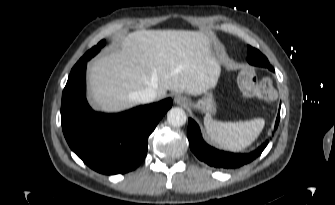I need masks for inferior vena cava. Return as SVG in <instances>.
<instances>
[{
  "mask_svg": "<svg viewBox=\"0 0 335 205\" xmlns=\"http://www.w3.org/2000/svg\"><path fill=\"white\" fill-rule=\"evenodd\" d=\"M133 96L140 103H149L157 98V92L154 88L148 87L142 91L135 92Z\"/></svg>",
  "mask_w": 335,
  "mask_h": 205,
  "instance_id": "inferior-vena-cava-1",
  "label": "inferior vena cava"
}]
</instances>
